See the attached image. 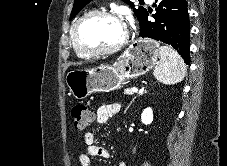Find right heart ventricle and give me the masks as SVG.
Segmentation results:
<instances>
[{"instance_id": "1", "label": "right heart ventricle", "mask_w": 227, "mask_h": 166, "mask_svg": "<svg viewBox=\"0 0 227 166\" xmlns=\"http://www.w3.org/2000/svg\"><path fill=\"white\" fill-rule=\"evenodd\" d=\"M73 46V45H72ZM73 50H74V52L79 56V57H82V58H86L87 56H85V55H82V54H80L74 47H73Z\"/></svg>"}]
</instances>
